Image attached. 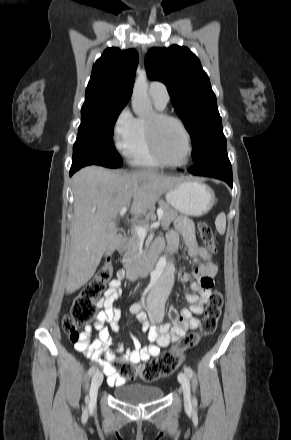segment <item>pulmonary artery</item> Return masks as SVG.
Listing matches in <instances>:
<instances>
[{
  "label": "pulmonary artery",
  "mask_w": 291,
  "mask_h": 440,
  "mask_svg": "<svg viewBox=\"0 0 291 440\" xmlns=\"http://www.w3.org/2000/svg\"><path fill=\"white\" fill-rule=\"evenodd\" d=\"M149 94L160 106L165 107L169 101L166 85L160 81H152L150 83Z\"/></svg>",
  "instance_id": "e3ab8cb5"
}]
</instances>
